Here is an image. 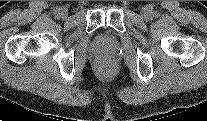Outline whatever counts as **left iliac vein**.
Wrapping results in <instances>:
<instances>
[{
  "mask_svg": "<svg viewBox=\"0 0 207 121\" xmlns=\"http://www.w3.org/2000/svg\"><path fill=\"white\" fill-rule=\"evenodd\" d=\"M141 14H142V16H144V17H148V16H149V11H148V9H147V8H143V9L141 10Z\"/></svg>",
  "mask_w": 207,
  "mask_h": 121,
  "instance_id": "obj_1",
  "label": "left iliac vein"
}]
</instances>
